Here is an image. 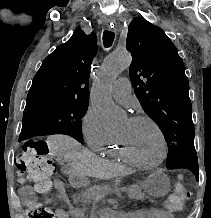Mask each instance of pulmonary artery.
<instances>
[{
    "label": "pulmonary artery",
    "mask_w": 211,
    "mask_h": 218,
    "mask_svg": "<svg viewBox=\"0 0 211 218\" xmlns=\"http://www.w3.org/2000/svg\"><path fill=\"white\" fill-rule=\"evenodd\" d=\"M130 80L126 78H120L117 80L112 87V93L114 98L122 103H126L131 95V88H130Z\"/></svg>",
    "instance_id": "1"
}]
</instances>
